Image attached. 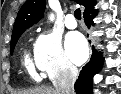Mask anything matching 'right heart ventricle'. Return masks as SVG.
<instances>
[{
	"label": "right heart ventricle",
	"mask_w": 121,
	"mask_h": 94,
	"mask_svg": "<svg viewBox=\"0 0 121 94\" xmlns=\"http://www.w3.org/2000/svg\"><path fill=\"white\" fill-rule=\"evenodd\" d=\"M23 66L27 72V74L35 81H38L40 79L38 73L35 71L34 66L32 64L31 59L27 54L24 55L23 58Z\"/></svg>",
	"instance_id": "e07e8e85"
}]
</instances>
